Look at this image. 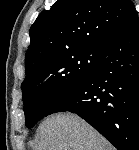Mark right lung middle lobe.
Here are the masks:
<instances>
[{
  "label": "right lung middle lobe",
  "mask_w": 139,
  "mask_h": 150,
  "mask_svg": "<svg viewBox=\"0 0 139 150\" xmlns=\"http://www.w3.org/2000/svg\"><path fill=\"white\" fill-rule=\"evenodd\" d=\"M102 51L87 49L63 53L26 75L22 94L28 128L33 127L60 98L90 74Z\"/></svg>",
  "instance_id": "dd1d6c3e"
}]
</instances>
